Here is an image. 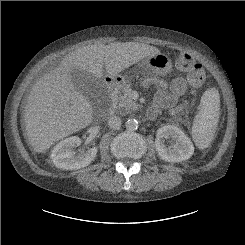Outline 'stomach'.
Segmentation results:
<instances>
[{
	"label": "stomach",
	"mask_w": 245,
	"mask_h": 245,
	"mask_svg": "<svg viewBox=\"0 0 245 245\" xmlns=\"http://www.w3.org/2000/svg\"><path fill=\"white\" fill-rule=\"evenodd\" d=\"M138 68L141 70H149L158 75H166L172 68V62L167 55L158 53L144 59L141 63H139ZM116 77H121L123 80H125V78L120 75Z\"/></svg>",
	"instance_id": "obj_1"
}]
</instances>
